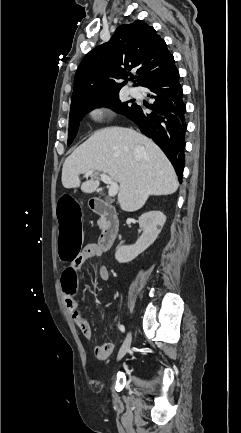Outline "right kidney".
<instances>
[{"label": "right kidney", "instance_id": "right-kidney-1", "mask_svg": "<svg viewBox=\"0 0 241 433\" xmlns=\"http://www.w3.org/2000/svg\"><path fill=\"white\" fill-rule=\"evenodd\" d=\"M139 226L142 235L131 246H119L115 253V259L119 263H127L135 259L154 243L166 222V216L157 210L149 211L139 217Z\"/></svg>", "mask_w": 241, "mask_h": 433}]
</instances>
